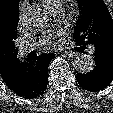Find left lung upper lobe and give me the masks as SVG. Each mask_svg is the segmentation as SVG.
Listing matches in <instances>:
<instances>
[{"label":"left lung upper lobe","instance_id":"left-lung-upper-lobe-1","mask_svg":"<svg viewBox=\"0 0 113 113\" xmlns=\"http://www.w3.org/2000/svg\"><path fill=\"white\" fill-rule=\"evenodd\" d=\"M80 16L73 38L75 42H102L113 47V20L103 0H77Z\"/></svg>","mask_w":113,"mask_h":113}]
</instances>
